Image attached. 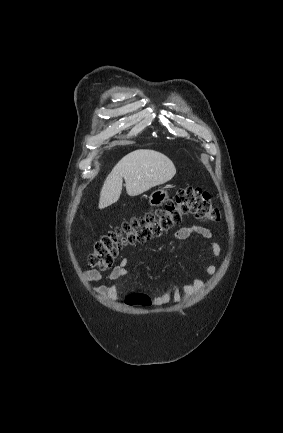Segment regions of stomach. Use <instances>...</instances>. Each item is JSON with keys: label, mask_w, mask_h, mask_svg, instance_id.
<instances>
[{"label": "stomach", "mask_w": 283, "mask_h": 433, "mask_svg": "<svg viewBox=\"0 0 283 433\" xmlns=\"http://www.w3.org/2000/svg\"><path fill=\"white\" fill-rule=\"evenodd\" d=\"M167 196V190H164V188H158V190L151 192L148 202L150 206H160V204H163L164 200H166Z\"/></svg>", "instance_id": "obj_1"}]
</instances>
